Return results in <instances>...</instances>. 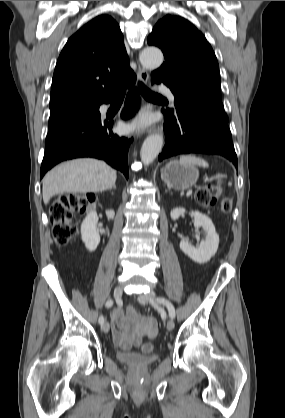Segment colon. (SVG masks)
I'll list each match as a JSON object with an SVG mask.
<instances>
[{
    "mask_svg": "<svg viewBox=\"0 0 285 418\" xmlns=\"http://www.w3.org/2000/svg\"><path fill=\"white\" fill-rule=\"evenodd\" d=\"M197 203L205 208L219 205L223 212H229L232 206L231 199L223 195L221 187L217 184H208L200 187L195 194ZM89 209V202L84 195L78 193H63L52 204L50 220L53 224V237L57 245H65L75 238L78 229L72 218L82 211ZM144 353H151L154 346L150 342L142 344Z\"/></svg>",
    "mask_w": 285,
    "mask_h": 418,
    "instance_id": "obj_1",
    "label": "colon"
}]
</instances>
